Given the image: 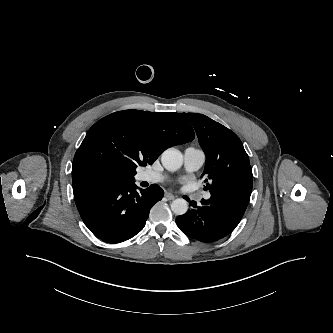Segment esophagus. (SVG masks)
Masks as SVG:
<instances>
[{
    "instance_id": "obj_1",
    "label": "esophagus",
    "mask_w": 333,
    "mask_h": 333,
    "mask_svg": "<svg viewBox=\"0 0 333 333\" xmlns=\"http://www.w3.org/2000/svg\"><path fill=\"white\" fill-rule=\"evenodd\" d=\"M165 197L168 199V200H173L175 198V196L169 192H166L165 193Z\"/></svg>"
}]
</instances>
